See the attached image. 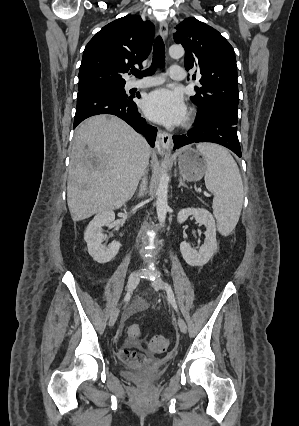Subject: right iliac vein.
Returning a JSON list of instances; mask_svg holds the SVG:
<instances>
[{
	"label": "right iliac vein",
	"instance_id": "1",
	"mask_svg": "<svg viewBox=\"0 0 299 426\" xmlns=\"http://www.w3.org/2000/svg\"><path fill=\"white\" fill-rule=\"evenodd\" d=\"M139 283V276L136 272H133L129 275L128 277V282H127V290L130 292L132 290H134L137 285ZM119 315V308H115L111 314H110V318H109V326H113L118 318Z\"/></svg>",
	"mask_w": 299,
	"mask_h": 426
}]
</instances>
